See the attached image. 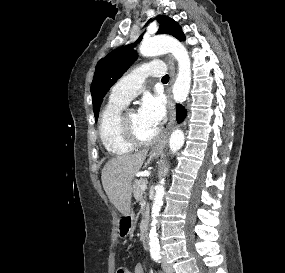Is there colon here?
Listing matches in <instances>:
<instances>
[{
  "label": "colon",
  "instance_id": "colon-1",
  "mask_svg": "<svg viewBox=\"0 0 285 273\" xmlns=\"http://www.w3.org/2000/svg\"><path fill=\"white\" fill-rule=\"evenodd\" d=\"M117 273H128V269L125 268V267H120V268L117 270Z\"/></svg>",
  "mask_w": 285,
  "mask_h": 273
}]
</instances>
